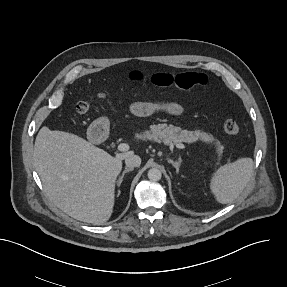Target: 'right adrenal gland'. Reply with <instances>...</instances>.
Listing matches in <instances>:
<instances>
[{
    "mask_svg": "<svg viewBox=\"0 0 287 287\" xmlns=\"http://www.w3.org/2000/svg\"><path fill=\"white\" fill-rule=\"evenodd\" d=\"M132 170H133V168H127V167H125V170L123 171L121 177H120L119 180H118V184H117L118 186L121 185V183H122V181H123V178H124V175H125L127 172H130V171H132Z\"/></svg>",
    "mask_w": 287,
    "mask_h": 287,
    "instance_id": "1",
    "label": "right adrenal gland"
}]
</instances>
